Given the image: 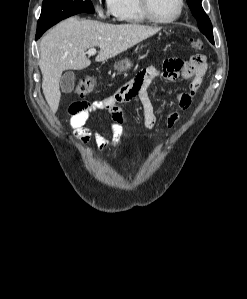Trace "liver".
I'll list each match as a JSON object with an SVG mask.
<instances>
[{
    "label": "liver",
    "instance_id": "liver-1",
    "mask_svg": "<svg viewBox=\"0 0 247 299\" xmlns=\"http://www.w3.org/2000/svg\"><path fill=\"white\" fill-rule=\"evenodd\" d=\"M160 29L136 24L114 25L76 17L57 24L40 42L42 90L52 112L55 113L59 106L62 72L83 70L91 64L86 57L87 49L100 48L95 61L103 62L155 35Z\"/></svg>",
    "mask_w": 247,
    "mask_h": 299
}]
</instances>
